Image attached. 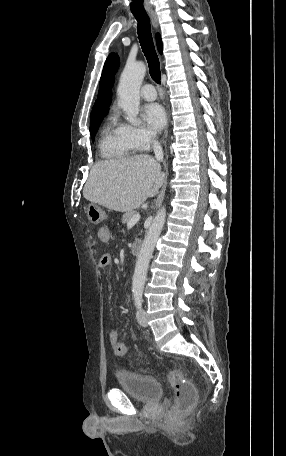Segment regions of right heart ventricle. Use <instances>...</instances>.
Returning a JSON list of instances; mask_svg holds the SVG:
<instances>
[{"label": "right heart ventricle", "instance_id": "right-heart-ventricle-1", "mask_svg": "<svg viewBox=\"0 0 286 456\" xmlns=\"http://www.w3.org/2000/svg\"><path fill=\"white\" fill-rule=\"evenodd\" d=\"M99 150L103 158L119 160L131 155L135 148L125 136L122 126L111 121L102 131Z\"/></svg>", "mask_w": 286, "mask_h": 456}]
</instances>
